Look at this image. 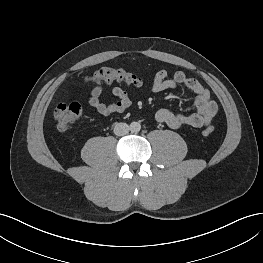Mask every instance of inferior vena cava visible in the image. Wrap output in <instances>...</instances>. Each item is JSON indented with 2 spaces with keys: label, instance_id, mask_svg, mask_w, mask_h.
<instances>
[{
  "label": "inferior vena cava",
  "instance_id": "obj_1",
  "mask_svg": "<svg viewBox=\"0 0 263 263\" xmlns=\"http://www.w3.org/2000/svg\"><path fill=\"white\" fill-rule=\"evenodd\" d=\"M130 130V127L126 123H116L114 127V134L117 136H124Z\"/></svg>",
  "mask_w": 263,
  "mask_h": 263
}]
</instances>
